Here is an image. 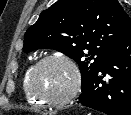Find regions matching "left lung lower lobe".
<instances>
[{
	"label": "left lung lower lobe",
	"mask_w": 131,
	"mask_h": 115,
	"mask_svg": "<svg viewBox=\"0 0 131 115\" xmlns=\"http://www.w3.org/2000/svg\"><path fill=\"white\" fill-rule=\"evenodd\" d=\"M78 103L107 115H131V30L108 53Z\"/></svg>",
	"instance_id": "obj_1"
}]
</instances>
